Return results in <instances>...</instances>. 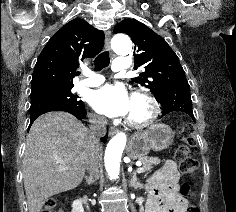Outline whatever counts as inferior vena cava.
<instances>
[{
    "instance_id": "obj_1",
    "label": "inferior vena cava",
    "mask_w": 236,
    "mask_h": 212,
    "mask_svg": "<svg viewBox=\"0 0 236 212\" xmlns=\"http://www.w3.org/2000/svg\"><path fill=\"white\" fill-rule=\"evenodd\" d=\"M90 131L93 138V149L87 165L89 178H99V138L106 134L107 120L102 116H92L90 119Z\"/></svg>"
}]
</instances>
